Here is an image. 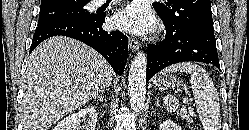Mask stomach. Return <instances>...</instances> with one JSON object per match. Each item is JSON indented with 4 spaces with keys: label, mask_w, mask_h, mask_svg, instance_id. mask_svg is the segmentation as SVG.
Instances as JSON below:
<instances>
[{
    "label": "stomach",
    "mask_w": 249,
    "mask_h": 130,
    "mask_svg": "<svg viewBox=\"0 0 249 130\" xmlns=\"http://www.w3.org/2000/svg\"><path fill=\"white\" fill-rule=\"evenodd\" d=\"M180 84L176 76L170 74H160L153 80V87L158 90L173 89Z\"/></svg>",
    "instance_id": "1"
}]
</instances>
